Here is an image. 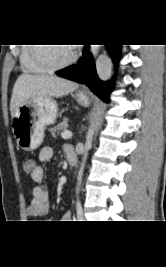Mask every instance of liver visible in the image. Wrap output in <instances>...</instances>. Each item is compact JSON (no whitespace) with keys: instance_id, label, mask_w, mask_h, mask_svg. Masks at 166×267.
Here are the masks:
<instances>
[{"instance_id":"6515ba94","label":"liver","mask_w":166,"mask_h":267,"mask_svg":"<svg viewBox=\"0 0 166 267\" xmlns=\"http://www.w3.org/2000/svg\"><path fill=\"white\" fill-rule=\"evenodd\" d=\"M78 84L55 75L21 74L16 80L10 102V112L13 118L16 111L37 97L60 98L76 90Z\"/></svg>"}]
</instances>
